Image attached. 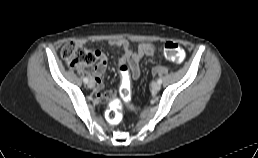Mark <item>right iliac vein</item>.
Listing matches in <instances>:
<instances>
[{
    "label": "right iliac vein",
    "mask_w": 258,
    "mask_h": 158,
    "mask_svg": "<svg viewBox=\"0 0 258 158\" xmlns=\"http://www.w3.org/2000/svg\"><path fill=\"white\" fill-rule=\"evenodd\" d=\"M87 85H88L89 88H93L94 87V82L93 81H89Z\"/></svg>",
    "instance_id": "1"
}]
</instances>
